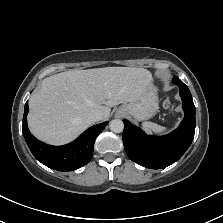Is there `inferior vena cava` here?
<instances>
[{"label": "inferior vena cava", "mask_w": 223, "mask_h": 223, "mask_svg": "<svg viewBox=\"0 0 223 223\" xmlns=\"http://www.w3.org/2000/svg\"><path fill=\"white\" fill-rule=\"evenodd\" d=\"M89 120L92 122H97L103 120V114L100 110L94 109L89 113Z\"/></svg>", "instance_id": "602c4592"}]
</instances>
